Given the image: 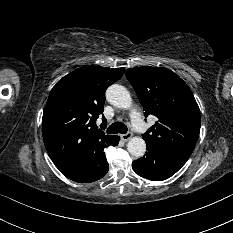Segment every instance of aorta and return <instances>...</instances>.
<instances>
[{
  "label": "aorta",
  "mask_w": 233,
  "mask_h": 233,
  "mask_svg": "<svg viewBox=\"0 0 233 233\" xmlns=\"http://www.w3.org/2000/svg\"><path fill=\"white\" fill-rule=\"evenodd\" d=\"M108 102L118 108L129 109L132 105V98L128 90L118 84L111 85L106 91ZM128 152L136 157H142L146 152V143L141 137H133L127 144Z\"/></svg>",
  "instance_id": "aorta-1"
}]
</instances>
